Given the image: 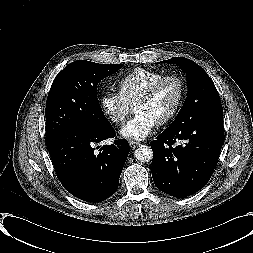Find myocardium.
Listing matches in <instances>:
<instances>
[{
	"instance_id": "obj_1",
	"label": "myocardium",
	"mask_w": 253,
	"mask_h": 253,
	"mask_svg": "<svg viewBox=\"0 0 253 253\" xmlns=\"http://www.w3.org/2000/svg\"><path fill=\"white\" fill-rule=\"evenodd\" d=\"M169 80H175L178 83L179 88H180V95H179L178 102H177L176 106L174 107V109L167 116H165L162 120H160L157 123L160 126L166 125V124L170 123L171 121H173L176 118V116L179 114V112L181 111V109L185 103L187 88H186L185 80L183 79L182 76H180L179 74H175V73H169V74L163 75L161 78H159L158 80H156L153 84H151L149 86V88L138 99V101L135 103V106H134L136 108L138 105L150 101L155 96L158 89L166 81H169Z\"/></svg>"
}]
</instances>
